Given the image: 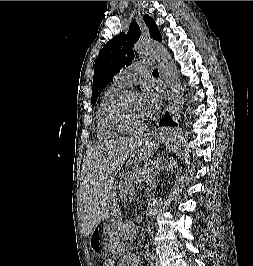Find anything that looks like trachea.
I'll use <instances>...</instances> for the list:
<instances>
[{
	"label": "trachea",
	"mask_w": 253,
	"mask_h": 266,
	"mask_svg": "<svg viewBox=\"0 0 253 266\" xmlns=\"http://www.w3.org/2000/svg\"><path fill=\"white\" fill-rule=\"evenodd\" d=\"M153 74H154V75H158V74H159V73H158V70H157V69L153 70Z\"/></svg>",
	"instance_id": "3493384b"
}]
</instances>
